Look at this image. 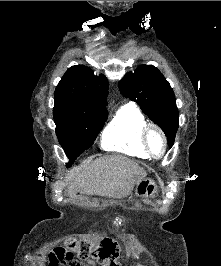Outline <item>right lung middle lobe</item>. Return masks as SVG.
<instances>
[{
  "label": "right lung middle lobe",
  "mask_w": 221,
  "mask_h": 266,
  "mask_svg": "<svg viewBox=\"0 0 221 266\" xmlns=\"http://www.w3.org/2000/svg\"><path fill=\"white\" fill-rule=\"evenodd\" d=\"M56 135L69 158L74 160L96 140L108 114H84L76 111L67 101L55 100L53 109Z\"/></svg>",
  "instance_id": "obj_1"
}]
</instances>
